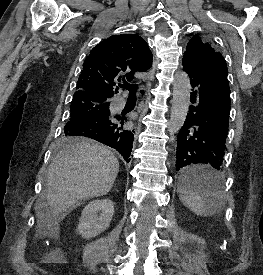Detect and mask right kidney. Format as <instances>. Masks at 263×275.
I'll return each instance as SVG.
<instances>
[{
	"mask_svg": "<svg viewBox=\"0 0 263 275\" xmlns=\"http://www.w3.org/2000/svg\"><path fill=\"white\" fill-rule=\"evenodd\" d=\"M114 214V203L110 199L93 200L81 213L77 231L86 239L104 232Z\"/></svg>",
	"mask_w": 263,
	"mask_h": 275,
	"instance_id": "1",
	"label": "right kidney"
}]
</instances>
